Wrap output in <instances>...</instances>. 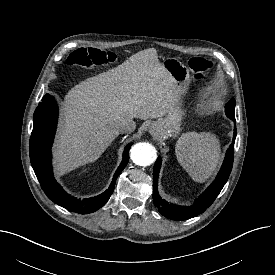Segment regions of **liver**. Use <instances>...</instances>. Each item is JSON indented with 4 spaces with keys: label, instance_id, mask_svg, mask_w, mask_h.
Listing matches in <instances>:
<instances>
[{
    "label": "liver",
    "instance_id": "obj_1",
    "mask_svg": "<svg viewBox=\"0 0 275 275\" xmlns=\"http://www.w3.org/2000/svg\"><path fill=\"white\" fill-rule=\"evenodd\" d=\"M175 83L157 50L132 55L121 65L74 86L65 96L54 148L57 169L97 160L119 135L121 119L161 118L178 103Z\"/></svg>",
    "mask_w": 275,
    "mask_h": 275
}]
</instances>
